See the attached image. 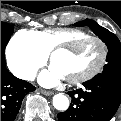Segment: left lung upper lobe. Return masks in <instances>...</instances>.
Wrapping results in <instances>:
<instances>
[{
  "instance_id": "1",
  "label": "left lung upper lobe",
  "mask_w": 121,
  "mask_h": 121,
  "mask_svg": "<svg viewBox=\"0 0 121 121\" xmlns=\"http://www.w3.org/2000/svg\"><path fill=\"white\" fill-rule=\"evenodd\" d=\"M75 26L90 27L108 47L109 54L106 59L107 64L105 65L103 72L98 76L113 77L121 80V44L116 35L90 19L77 22Z\"/></svg>"
}]
</instances>
